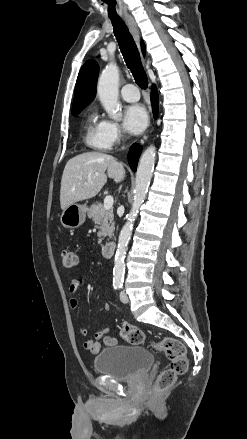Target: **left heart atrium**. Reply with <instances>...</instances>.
<instances>
[{
	"instance_id": "left-heart-atrium-1",
	"label": "left heart atrium",
	"mask_w": 247,
	"mask_h": 439,
	"mask_svg": "<svg viewBox=\"0 0 247 439\" xmlns=\"http://www.w3.org/2000/svg\"><path fill=\"white\" fill-rule=\"evenodd\" d=\"M148 124V114L139 104L128 106L124 111V125L132 134L142 132Z\"/></svg>"
}]
</instances>
